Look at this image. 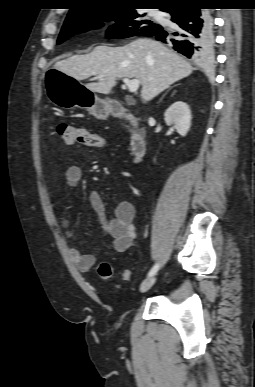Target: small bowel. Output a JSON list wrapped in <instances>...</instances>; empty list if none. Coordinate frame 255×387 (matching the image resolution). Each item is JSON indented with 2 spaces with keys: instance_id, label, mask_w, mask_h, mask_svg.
<instances>
[{
  "instance_id": "small-bowel-1",
  "label": "small bowel",
  "mask_w": 255,
  "mask_h": 387,
  "mask_svg": "<svg viewBox=\"0 0 255 387\" xmlns=\"http://www.w3.org/2000/svg\"><path fill=\"white\" fill-rule=\"evenodd\" d=\"M81 179L82 169L79 166L71 165L66 169L65 180L67 186L76 187ZM89 202L103 234L112 240L113 250L121 253L130 249L137 238L134 205L129 201L120 202L114 210L113 217L107 220L104 202L98 192L90 193ZM56 219L59 227L69 237L73 238L70 220L58 208L56 210ZM69 254L77 269L81 272L89 271L96 262L94 255L86 254L77 248H70Z\"/></svg>"
}]
</instances>
